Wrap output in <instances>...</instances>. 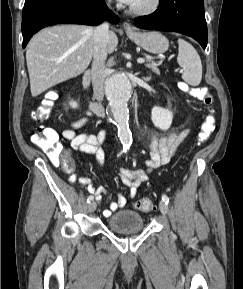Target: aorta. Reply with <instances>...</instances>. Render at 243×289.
<instances>
[{"mask_svg":"<svg viewBox=\"0 0 243 289\" xmlns=\"http://www.w3.org/2000/svg\"><path fill=\"white\" fill-rule=\"evenodd\" d=\"M105 94L109 101L113 120L118 128V137L123 145V151H126L132 144L128 109L131 83L127 75L124 73L111 75L105 82Z\"/></svg>","mask_w":243,"mask_h":289,"instance_id":"obj_1","label":"aorta"}]
</instances>
